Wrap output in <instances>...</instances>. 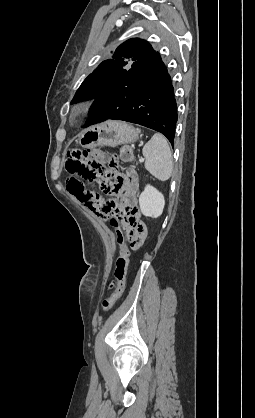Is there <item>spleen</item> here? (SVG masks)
Returning <instances> with one entry per match:
<instances>
[{
    "label": "spleen",
    "mask_w": 255,
    "mask_h": 418,
    "mask_svg": "<svg viewBox=\"0 0 255 418\" xmlns=\"http://www.w3.org/2000/svg\"><path fill=\"white\" fill-rule=\"evenodd\" d=\"M145 168L160 181L168 180L173 171L172 153L167 139L155 133L142 149Z\"/></svg>",
    "instance_id": "obj_1"
}]
</instances>
